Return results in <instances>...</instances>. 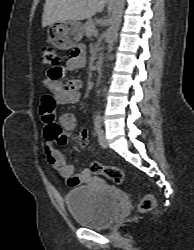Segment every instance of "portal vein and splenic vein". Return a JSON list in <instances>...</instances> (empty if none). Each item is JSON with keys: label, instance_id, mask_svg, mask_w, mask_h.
<instances>
[{"label": "portal vein and splenic vein", "instance_id": "1", "mask_svg": "<svg viewBox=\"0 0 194 250\" xmlns=\"http://www.w3.org/2000/svg\"><path fill=\"white\" fill-rule=\"evenodd\" d=\"M97 34H98V31H97V30H95V31H94V35H97Z\"/></svg>", "mask_w": 194, "mask_h": 250}]
</instances>
